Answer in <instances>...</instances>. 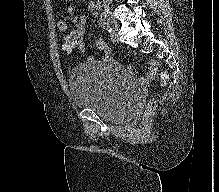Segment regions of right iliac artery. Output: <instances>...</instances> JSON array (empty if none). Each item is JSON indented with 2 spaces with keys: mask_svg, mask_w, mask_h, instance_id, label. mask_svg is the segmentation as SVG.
<instances>
[{
  "mask_svg": "<svg viewBox=\"0 0 219 192\" xmlns=\"http://www.w3.org/2000/svg\"><path fill=\"white\" fill-rule=\"evenodd\" d=\"M99 26L102 27L104 30L110 32L109 24L106 20V17L102 14L101 17L98 20Z\"/></svg>",
  "mask_w": 219,
  "mask_h": 192,
  "instance_id": "1",
  "label": "right iliac artery"
}]
</instances>
